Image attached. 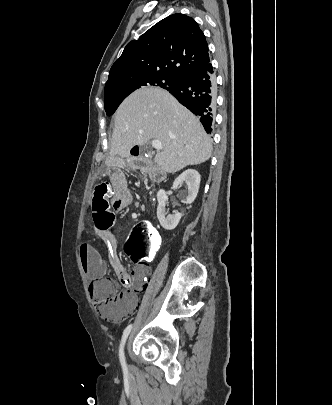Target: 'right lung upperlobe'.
Here are the masks:
<instances>
[{
  "mask_svg": "<svg viewBox=\"0 0 332 405\" xmlns=\"http://www.w3.org/2000/svg\"><path fill=\"white\" fill-rule=\"evenodd\" d=\"M210 62L208 46L197 22L183 14H172L129 42L109 72L106 86L131 74L184 76Z\"/></svg>",
  "mask_w": 332,
  "mask_h": 405,
  "instance_id": "obj_1",
  "label": "right lung upper lobe"
}]
</instances>
